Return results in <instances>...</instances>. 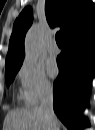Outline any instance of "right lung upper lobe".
Wrapping results in <instances>:
<instances>
[{
  "label": "right lung upper lobe",
  "instance_id": "cb5924a9",
  "mask_svg": "<svg viewBox=\"0 0 95 130\" xmlns=\"http://www.w3.org/2000/svg\"><path fill=\"white\" fill-rule=\"evenodd\" d=\"M45 12L51 27L60 26L64 40L95 25V6L92 0H46ZM32 20L30 7L25 8L16 19L9 41L6 70L22 65L24 38Z\"/></svg>",
  "mask_w": 95,
  "mask_h": 130
}]
</instances>
